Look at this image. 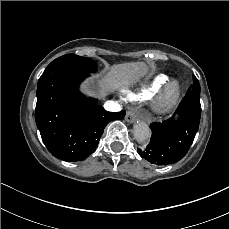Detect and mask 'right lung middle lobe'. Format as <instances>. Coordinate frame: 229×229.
I'll return each instance as SVG.
<instances>
[{
    "label": "right lung middle lobe",
    "instance_id": "obj_1",
    "mask_svg": "<svg viewBox=\"0 0 229 229\" xmlns=\"http://www.w3.org/2000/svg\"><path fill=\"white\" fill-rule=\"evenodd\" d=\"M96 70L97 65L95 61L86 57L77 56L75 54H66L55 59L47 66L42 76L39 78L38 83L59 72L79 71L93 73Z\"/></svg>",
    "mask_w": 229,
    "mask_h": 229
}]
</instances>
